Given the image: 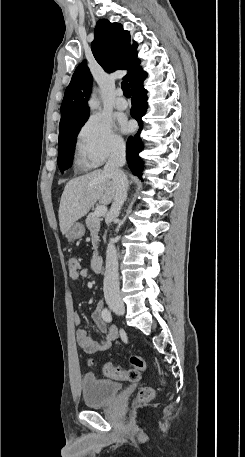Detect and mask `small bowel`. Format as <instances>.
<instances>
[{
    "instance_id": "1",
    "label": "small bowel",
    "mask_w": 245,
    "mask_h": 457,
    "mask_svg": "<svg viewBox=\"0 0 245 457\" xmlns=\"http://www.w3.org/2000/svg\"><path fill=\"white\" fill-rule=\"evenodd\" d=\"M69 276L78 281L84 279L88 276V271L85 269L77 270L74 272H69ZM104 304L102 301H99L92 313V319L96 327L105 333L104 337L100 341L92 339L88 332L80 328L76 332L77 343L79 347L88 354H94L102 352L110 348L113 341L118 337V330L115 326H109L103 318ZM74 321L76 325L82 323L81 317L76 313L74 316Z\"/></svg>"
}]
</instances>
